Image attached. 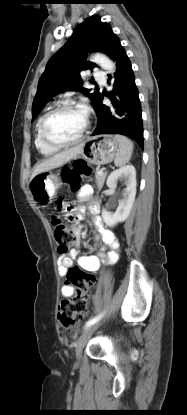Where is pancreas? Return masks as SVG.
I'll list each match as a JSON object with an SVG mask.
<instances>
[{"label": "pancreas", "instance_id": "cf45deb5", "mask_svg": "<svg viewBox=\"0 0 187 415\" xmlns=\"http://www.w3.org/2000/svg\"><path fill=\"white\" fill-rule=\"evenodd\" d=\"M98 172L99 171L95 172V179H96L97 187L100 190L104 185L107 173L99 174Z\"/></svg>", "mask_w": 187, "mask_h": 415}]
</instances>
